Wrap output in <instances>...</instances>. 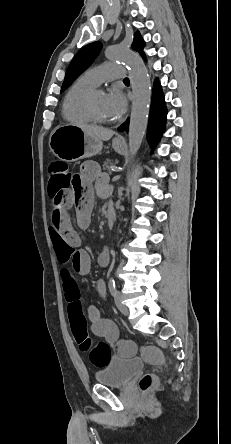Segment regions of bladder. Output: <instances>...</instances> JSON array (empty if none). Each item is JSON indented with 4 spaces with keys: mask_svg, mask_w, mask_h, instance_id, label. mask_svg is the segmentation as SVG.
Returning a JSON list of instances; mask_svg holds the SVG:
<instances>
[{
    "mask_svg": "<svg viewBox=\"0 0 231 444\" xmlns=\"http://www.w3.org/2000/svg\"><path fill=\"white\" fill-rule=\"evenodd\" d=\"M142 369L143 363L138 359L113 356L101 370L96 372L95 379L98 384L103 386L122 387Z\"/></svg>",
    "mask_w": 231,
    "mask_h": 444,
    "instance_id": "31cf9c89",
    "label": "bladder"
}]
</instances>
